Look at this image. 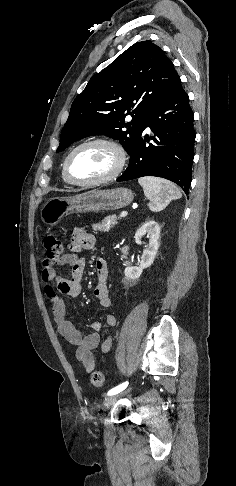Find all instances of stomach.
<instances>
[{"label": "stomach", "instance_id": "obj_1", "mask_svg": "<svg viewBox=\"0 0 236 486\" xmlns=\"http://www.w3.org/2000/svg\"><path fill=\"white\" fill-rule=\"evenodd\" d=\"M134 194L130 189L118 187L109 190H91L73 197H54L41 208L42 222L53 227L72 213L112 211L132 203Z\"/></svg>", "mask_w": 236, "mask_h": 486}]
</instances>
